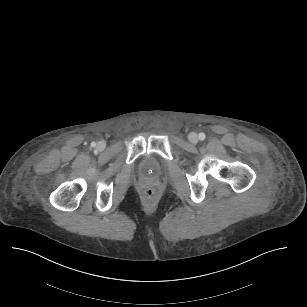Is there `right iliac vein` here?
Instances as JSON below:
<instances>
[{"label": "right iliac vein", "mask_w": 307, "mask_h": 307, "mask_svg": "<svg viewBox=\"0 0 307 307\" xmlns=\"http://www.w3.org/2000/svg\"><path fill=\"white\" fill-rule=\"evenodd\" d=\"M97 147H98L99 149H103V148L105 147V145H104V143L101 141V142L98 143Z\"/></svg>", "instance_id": "63e3f726"}]
</instances>
